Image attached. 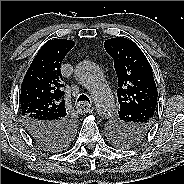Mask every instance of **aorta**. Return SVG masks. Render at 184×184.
Wrapping results in <instances>:
<instances>
[{
    "label": "aorta",
    "mask_w": 184,
    "mask_h": 184,
    "mask_svg": "<svg viewBox=\"0 0 184 184\" xmlns=\"http://www.w3.org/2000/svg\"><path fill=\"white\" fill-rule=\"evenodd\" d=\"M75 76L91 94L97 114L103 119L111 117L115 112V101L100 68L84 60L76 65Z\"/></svg>",
    "instance_id": "obj_1"
}]
</instances>
